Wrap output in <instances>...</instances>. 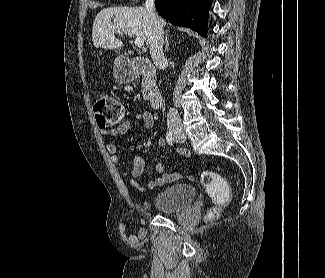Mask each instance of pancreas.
<instances>
[{
  "mask_svg": "<svg viewBox=\"0 0 325 278\" xmlns=\"http://www.w3.org/2000/svg\"><path fill=\"white\" fill-rule=\"evenodd\" d=\"M143 97H144V99H147V89H145V90L143 91Z\"/></svg>",
  "mask_w": 325,
  "mask_h": 278,
  "instance_id": "pancreas-1",
  "label": "pancreas"
}]
</instances>
